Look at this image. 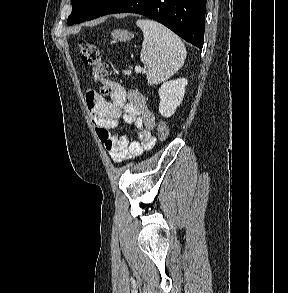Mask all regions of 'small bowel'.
<instances>
[{
  "label": "small bowel",
  "mask_w": 288,
  "mask_h": 293,
  "mask_svg": "<svg viewBox=\"0 0 288 293\" xmlns=\"http://www.w3.org/2000/svg\"><path fill=\"white\" fill-rule=\"evenodd\" d=\"M102 82L109 89V101L93 90L86 94V105L96 134L114 162L136 158L155 144L152 135L155 116L139 91L126 89L111 80ZM121 118L136 128L135 140L130 142L127 137L111 133Z\"/></svg>",
  "instance_id": "small-bowel-1"
}]
</instances>
